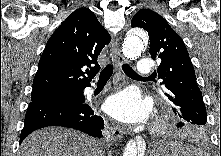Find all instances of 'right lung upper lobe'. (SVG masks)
Returning <instances> with one entry per match:
<instances>
[{"mask_svg": "<svg viewBox=\"0 0 221 156\" xmlns=\"http://www.w3.org/2000/svg\"><path fill=\"white\" fill-rule=\"evenodd\" d=\"M110 40L109 33L91 10L79 8L71 13L45 46L33 80L31 100L90 86L100 69L98 55Z\"/></svg>", "mask_w": 221, "mask_h": 156, "instance_id": "right-lung-upper-lobe-1", "label": "right lung upper lobe"}]
</instances>
